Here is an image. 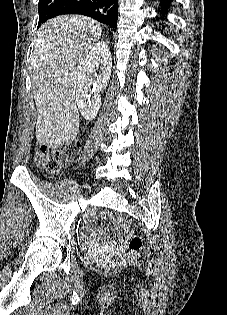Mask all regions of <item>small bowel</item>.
Wrapping results in <instances>:
<instances>
[{"instance_id": "1", "label": "small bowel", "mask_w": 227, "mask_h": 315, "mask_svg": "<svg viewBox=\"0 0 227 315\" xmlns=\"http://www.w3.org/2000/svg\"><path fill=\"white\" fill-rule=\"evenodd\" d=\"M96 233L99 235V236H105V231L102 227H99L97 230H96ZM92 236V231L89 229L85 232V237L87 238H90ZM117 247V246H116ZM116 247H113L112 246V250H116Z\"/></svg>"}]
</instances>
